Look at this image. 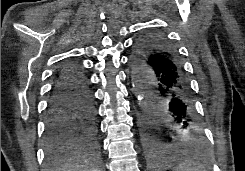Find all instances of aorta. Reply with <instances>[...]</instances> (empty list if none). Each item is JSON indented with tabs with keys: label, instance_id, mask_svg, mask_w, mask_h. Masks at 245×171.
Masks as SVG:
<instances>
[{
	"label": "aorta",
	"instance_id": "obj_1",
	"mask_svg": "<svg viewBox=\"0 0 245 171\" xmlns=\"http://www.w3.org/2000/svg\"><path fill=\"white\" fill-rule=\"evenodd\" d=\"M132 86H133L134 93L136 94L138 98L139 105L141 107H145L146 106V93L142 89V87L139 85L138 80L136 79L134 75V67H132Z\"/></svg>",
	"mask_w": 245,
	"mask_h": 171
}]
</instances>
